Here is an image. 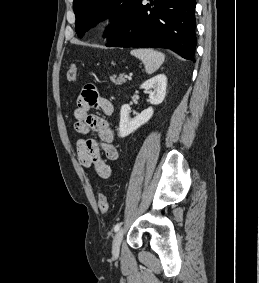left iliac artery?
Segmentation results:
<instances>
[{
    "label": "left iliac artery",
    "mask_w": 259,
    "mask_h": 283,
    "mask_svg": "<svg viewBox=\"0 0 259 283\" xmlns=\"http://www.w3.org/2000/svg\"><path fill=\"white\" fill-rule=\"evenodd\" d=\"M121 224L120 223H117L114 227V231L117 232L120 228Z\"/></svg>",
    "instance_id": "obj_1"
}]
</instances>
